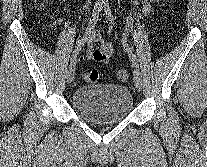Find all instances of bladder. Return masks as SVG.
I'll use <instances>...</instances> for the list:
<instances>
[{
	"mask_svg": "<svg viewBox=\"0 0 207 167\" xmlns=\"http://www.w3.org/2000/svg\"><path fill=\"white\" fill-rule=\"evenodd\" d=\"M72 105L79 115L89 121L119 122L132 111L133 96L123 85L89 84L76 89Z\"/></svg>",
	"mask_w": 207,
	"mask_h": 167,
	"instance_id": "bladder-1",
	"label": "bladder"
}]
</instances>
